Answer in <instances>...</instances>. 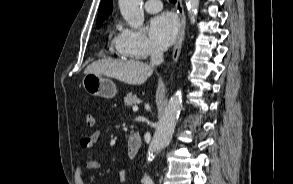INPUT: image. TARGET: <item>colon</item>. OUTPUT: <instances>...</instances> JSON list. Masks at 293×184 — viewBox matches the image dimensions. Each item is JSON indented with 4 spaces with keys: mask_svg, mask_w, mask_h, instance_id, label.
Returning <instances> with one entry per match:
<instances>
[{
    "mask_svg": "<svg viewBox=\"0 0 293 184\" xmlns=\"http://www.w3.org/2000/svg\"><path fill=\"white\" fill-rule=\"evenodd\" d=\"M86 124L89 127H92V126L95 125V118H94V116L92 114H88L86 116Z\"/></svg>",
    "mask_w": 293,
    "mask_h": 184,
    "instance_id": "obj_1",
    "label": "colon"
}]
</instances>
